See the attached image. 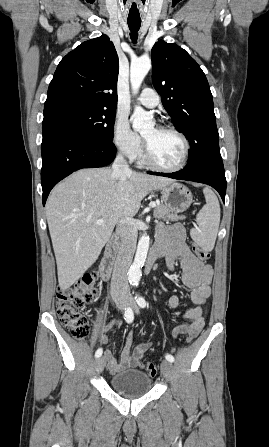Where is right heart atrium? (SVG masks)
<instances>
[{"mask_svg":"<svg viewBox=\"0 0 269 447\" xmlns=\"http://www.w3.org/2000/svg\"><path fill=\"white\" fill-rule=\"evenodd\" d=\"M113 141L128 158L136 159L142 153L141 136L130 128L127 118L121 114H117L114 120Z\"/></svg>","mask_w":269,"mask_h":447,"instance_id":"obj_1","label":"right heart atrium"}]
</instances>
